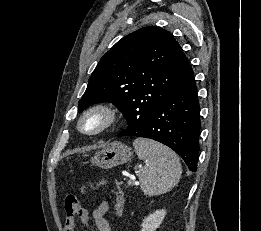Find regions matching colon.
<instances>
[{
	"label": "colon",
	"mask_w": 261,
	"mask_h": 231,
	"mask_svg": "<svg viewBox=\"0 0 261 231\" xmlns=\"http://www.w3.org/2000/svg\"><path fill=\"white\" fill-rule=\"evenodd\" d=\"M89 188H95L96 187V183L92 182L88 185ZM122 208V201L120 198H118L117 200V204H116V209L120 210ZM64 215H65V220L67 221H72L75 219V217H79L80 219H82L85 223L88 222V220H86L83 215H84V211L80 205L79 199L77 198V196L75 194H68L65 197L64 200Z\"/></svg>",
	"instance_id": "obj_1"
}]
</instances>
